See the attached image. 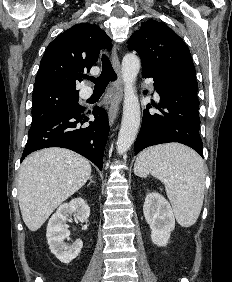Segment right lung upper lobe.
Wrapping results in <instances>:
<instances>
[{
    "instance_id": "right-lung-upper-lobe-1",
    "label": "right lung upper lobe",
    "mask_w": 232,
    "mask_h": 282,
    "mask_svg": "<svg viewBox=\"0 0 232 282\" xmlns=\"http://www.w3.org/2000/svg\"><path fill=\"white\" fill-rule=\"evenodd\" d=\"M110 49L111 40L95 24H76L58 35L46 48L35 78L34 90L77 92L76 82L90 71L101 49Z\"/></svg>"
}]
</instances>
